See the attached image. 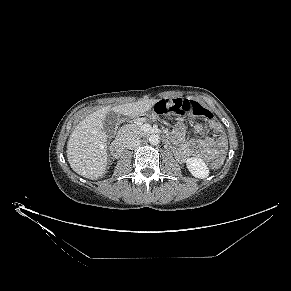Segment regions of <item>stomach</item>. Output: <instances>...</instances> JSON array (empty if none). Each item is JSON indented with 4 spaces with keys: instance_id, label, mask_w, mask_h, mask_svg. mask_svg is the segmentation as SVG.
Segmentation results:
<instances>
[{
    "instance_id": "obj_1",
    "label": "stomach",
    "mask_w": 291,
    "mask_h": 291,
    "mask_svg": "<svg viewBox=\"0 0 291 291\" xmlns=\"http://www.w3.org/2000/svg\"><path fill=\"white\" fill-rule=\"evenodd\" d=\"M146 117L149 119H154V115H152V114L146 115Z\"/></svg>"
}]
</instances>
